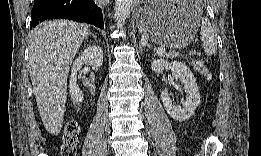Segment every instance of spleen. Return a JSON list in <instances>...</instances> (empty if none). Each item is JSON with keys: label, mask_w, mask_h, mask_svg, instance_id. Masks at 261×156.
<instances>
[{"label": "spleen", "mask_w": 261, "mask_h": 156, "mask_svg": "<svg viewBox=\"0 0 261 156\" xmlns=\"http://www.w3.org/2000/svg\"><path fill=\"white\" fill-rule=\"evenodd\" d=\"M200 39L207 55H213L217 51V38L208 18L202 17Z\"/></svg>", "instance_id": "spleen-1"}]
</instances>
